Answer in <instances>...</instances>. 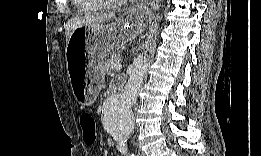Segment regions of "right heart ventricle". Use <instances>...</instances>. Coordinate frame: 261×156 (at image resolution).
Listing matches in <instances>:
<instances>
[{"label": "right heart ventricle", "instance_id": "e07e8e85", "mask_svg": "<svg viewBox=\"0 0 261 156\" xmlns=\"http://www.w3.org/2000/svg\"><path fill=\"white\" fill-rule=\"evenodd\" d=\"M79 3L81 2H87V0H78Z\"/></svg>", "mask_w": 261, "mask_h": 156}]
</instances>
